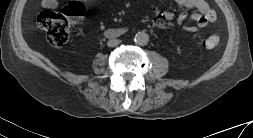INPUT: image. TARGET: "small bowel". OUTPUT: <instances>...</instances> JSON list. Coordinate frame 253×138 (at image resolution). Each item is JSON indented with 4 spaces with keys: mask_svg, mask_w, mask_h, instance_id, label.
I'll list each match as a JSON object with an SVG mask.
<instances>
[{
    "mask_svg": "<svg viewBox=\"0 0 253 138\" xmlns=\"http://www.w3.org/2000/svg\"><path fill=\"white\" fill-rule=\"evenodd\" d=\"M184 3L197 9V12L192 16V20L195 22V24H186L187 12L185 11L177 17L178 24L183 26L185 30L189 32H195L199 28L205 27L210 22L215 20L216 15L214 11L209 7L205 0H184ZM55 4L56 0H43V5L45 7H53ZM158 16L160 19L165 18L168 20H171L175 17V15L169 11L159 14Z\"/></svg>",
    "mask_w": 253,
    "mask_h": 138,
    "instance_id": "1",
    "label": "small bowel"
}]
</instances>
